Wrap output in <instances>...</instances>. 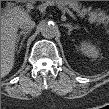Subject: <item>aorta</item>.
Returning <instances> with one entry per match:
<instances>
[{
  "instance_id": "762f6f07",
  "label": "aorta",
  "mask_w": 109,
  "mask_h": 109,
  "mask_svg": "<svg viewBox=\"0 0 109 109\" xmlns=\"http://www.w3.org/2000/svg\"><path fill=\"white\" fill-rule=\"evenodd\" d=\"M41 34L44 38H54L58 32V27L51 22H44L40 28Z\"/></svg>"
}]
</instances>
